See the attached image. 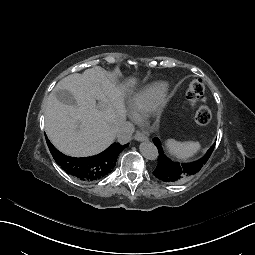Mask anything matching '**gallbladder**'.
Segmentation results:
<instances>
[{"label": "gallbladder", "mask_w": 255, "mask_h": 255, "mask_svg": "<svg viewBox=\"0 0 255 255\" xmlns=\"http://www.w3.org/2000/svg\"><path fill=\"white\" fill-rule=\"evenodd\" d=\"M56 97L62 102V103H65V104H68V105H76L75 103V100L73 98V96L68 92V91H59L57 94H56Z\"/></svg>", "instance_id": "obj_1"}]
</instances>
